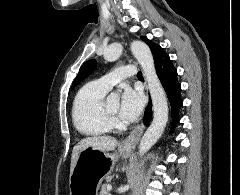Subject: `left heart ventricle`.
<instances>
[{
	"mask_svg": "<svg viewBox=\"0 0 240 195\" xmlns=\"http://www.w3.org/2000/svg\"><path fill=\"white\" fill-rule=\"evenodd\" d=\"M108 106L113 113L119 114V112H120L119 98L109 99L108 100Z\"/></svg>",
	"mask_w": 240,
	"mask_h": 195,
	"instance_id": "obj_1",
	"label": "left heart ventricle"
}]
</instances>
